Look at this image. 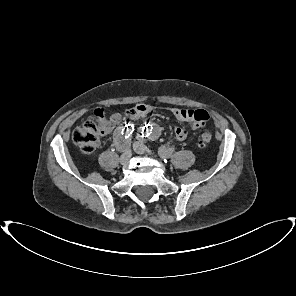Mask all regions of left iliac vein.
I'll use <instances>...</instances> for the list:
<instances>
[{"instance_id":"left-iliac-vein-1","label":"left iliac vein","mask_w":296,"mask_h":296,"mask_svg":"<svg viewBox=\"0 0 296 296\" xmlns=\"http://www.w3.org/2000/svg\"><path fill=\"white\" fill-rule=\"evenodd\" d=\"M134 151L138 154L146 153V147L142 142H135L133 144Z\"/></svg>"}]
</instances>
